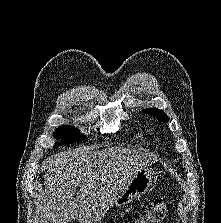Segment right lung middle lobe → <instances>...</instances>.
<instances>
[{"mask_svg": "<svg viewBox=\"0 0 221 223\" xmlns=\"http://www.w3.org/2000/svg\"><path fill=\"white\" fill-rule=\"evenodd\" d=\"M79 131L72 126H68V125H64V126H60L58 129H56L55 133H54V137L59 139L61 138L62 140H60V143L57 142L54 147L57 148L59 145H68L71 144L73 142H80L82 141L85 136L84 135H79Z\"/></svg>", "mask_w": 221, "mask_h": 223, "instance_id": "right-lung-middle-lobe-1", "label": "right lung middle lobe"}]
</instances>
